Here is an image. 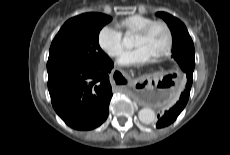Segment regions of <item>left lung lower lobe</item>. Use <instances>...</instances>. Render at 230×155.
I'll use <instances>...</instances> for the list:
<instances>
[{
    "mask_svg": "<svg viewBox=\"0 0 230 155\" xmlns=\"http://www.w3.org/2000/svg\"><path fill=\"white\" fill-rule=\"evenodd\" d=\"M187 83L185 85V88L182 90L181 95L177 103L168 111L165 112V114L162 117H159L158 115V122L156 124L157 128H162L165 126L170 125L172 122L176 120L178 115L181 113V111L184 109V107L187 104V101L189 99L190 95V89L192 86L193 81V74H187ZM164 86V85H161Z\"/></svg>",
    "mask_w": 230,
    "mask_h": 155,
    "instance_id": "obj_1",
    "label": "left lung lower lobe"
}]
</instances>
